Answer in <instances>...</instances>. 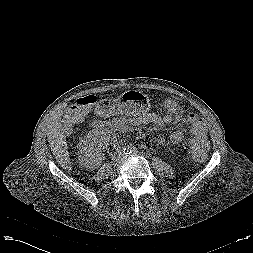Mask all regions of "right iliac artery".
<instances>
[{
    "label": "right iliac artery",
    "instance_id": "82829eb1",
    "mask_svg": "<svg viewBox=\"0 0 253 253\" xmlns=\"http://www.w3.org/2000/svg\"><path fill=\"white\" fill-rule=\"evenodd\" d=\"M124 153H125V154H130V153H131V150H130L129 148H125V149H124Z\"/></svg>",
    "mask_w": 253,
    "mask_h": 253
}]
</instances>
